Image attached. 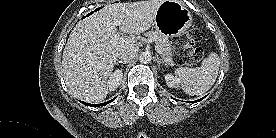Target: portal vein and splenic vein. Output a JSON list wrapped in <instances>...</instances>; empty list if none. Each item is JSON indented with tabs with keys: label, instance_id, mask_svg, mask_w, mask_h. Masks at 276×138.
I'll use <instances>...</instances> for the list:
<instances>
[{
	"label": "portal vein and splenic vein",
	"instance_id": "obj_1",
	"mask_svg": "<svg viewBox=\"0 0 276 138\" xmlns=\"http://www.w3.org/2000/svg\"><path fill=\"white\" fill-rule=\"evenodd\" d=\"M116 23H117L118 25H120V22L116 21ZM111 40H112L113 42H118V41L121 40V37H120V35H119L118 33H114V34L111 36ZM155 50H156L158 53H160V49L158 48L157 45H155Z\"/></svg>",
	"mask_w": 276,
	"mask_h": 138
}]
</instances>
